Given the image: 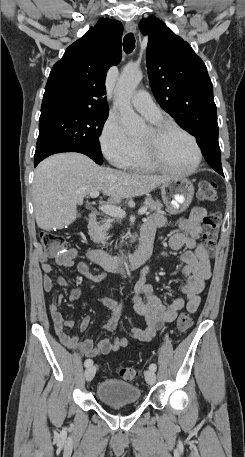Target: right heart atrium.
I'll return each instance as SVG.
<instances>
[{
	"label": "right heart atrium",
	"mask_w": 245,
	"mask_h": 457,
	"mask_svg": "<svg viewBox=\"0 0 245 457\" xmlns=\"http://www.w3.org/2000/svg\"><path fill=\"white\" fill-rule=\"evenodd\" d=\"M100 144L107 159L121 165L135 149V142L127 135L121 121L116 117H108L101 134Z\"/></svg>",
	"instance_id": "1"
}]
</instances>
